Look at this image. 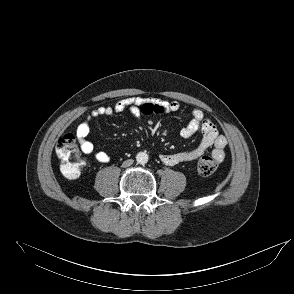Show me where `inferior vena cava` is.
<instances>
[{
	"label": "inferior vena cava",
	"instance_id": "602c4592",
	"mask_svg": "<svg viewBox=\"0 0 294 294\" xmlns=\"http://www.w3.org/2000/svg\"><path fill=\"white\" fill-rule=\"evenodd\" d=\"M133 162H134V160L128 159L122 163V167H124V168L129 167L133 164Z\"/></svg>",
	"mask_w": 294,
	"mask_h": 294
}]
</instances>
